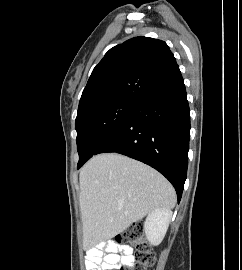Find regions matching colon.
Segmentation results:
<instances>
[{"label":"colon","mask_w":242,"mask_h":270,"mask_svg":"<svg viewBox=\"0 0 242 270\" xmlns=\"http://www.w3.org/2000/svg\"><path fill=\"white\" fill-rule=\"evenodd\" d=\"M115 242L123 245L134 244L136 246L135 262L133 266H130L132 270H146L155 263V253L144 241V228L141 223H133L116 237ZM119 270H126L125 266H121Z\"/></svg>","instance_id":"colon-1"}]
</instances>
